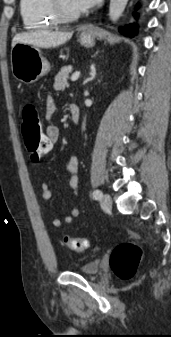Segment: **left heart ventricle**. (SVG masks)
<instances>
[{
  "label": "left heart ventricle",
  "mask_w": 171,
  "mask_h": 337,
  "mask_svg": "<svg viewBox=\"0 0 171 337\" xmlns=\"http://www.w3.org/2000/svg\"><path fill=\"white\" fill-rule=\"evenodd\" d=\"M62 1L65 7L69 9L70 11H74V12L80 11V9L76 7V5L73 3V0H62Z\"/></svg>",
  "instance_id": "b2bd125f"
}]
</instances>
